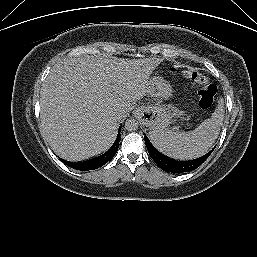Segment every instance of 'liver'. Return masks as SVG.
<instances>
[{
    "mask_svg": "<svg viewBox=\"0 0 257 257\" xmlns=\"http://www.w3.org/2000/svg\"><path fill=\"white\" fill-rule=\"evenodd\" d=\"M160 62L80 55L57 63L40 97L41 127L54 153L77 162L108 150L132 102L146 96L149 77Z\"/></svg>",
    "mask_w": 257,
    "mask_h": 257,
    "instance_id": "liver-1",
    "label": "liver"
}]
</instances>
